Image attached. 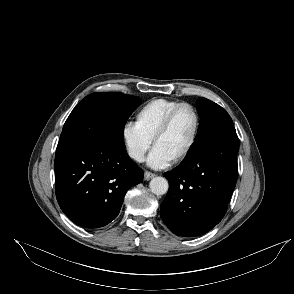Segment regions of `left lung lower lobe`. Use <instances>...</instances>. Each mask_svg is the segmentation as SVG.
<instances>
[{
  "mask_svg": "<svg viewBox=\"0 0 294 294\" xmlns=\"http://www.w3.org/2000/svg\"><path fill=\"white\" fill-rule=\"evenodd\" d=\"M239 140L224 132L197 142L184 161L164 175L169 190L161 218L175 234L199 236L224 217L237 181Z\"/></svg>",
  "mask_w": 294,
  "mask_h": 294,
  "instance_id": "left-lung-lower-lobe-1",
  "label": "left lung lower lobe"
}]
</instances>
